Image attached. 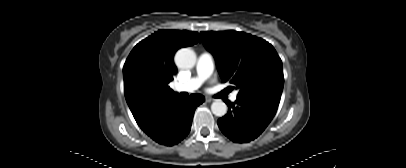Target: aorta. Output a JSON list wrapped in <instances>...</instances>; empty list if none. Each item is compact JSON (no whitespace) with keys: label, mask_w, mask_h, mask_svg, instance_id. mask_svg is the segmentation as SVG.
<instances>
[{"label":"aorta","mask_w":406,"mask_h":168,"mask_svg":"<svg viewBox=\"0 0 406 168\" xmlns=\"http://www.w3.org/2000/svg\"><path fill=\"white\" fill-rule=\"evenodd\" d=\"M175 63L179 68L189 69L196 63V54L190 48H182L175 54ZM214 115L222 117L227 113V105L220 99L215 100L211 105Z\"/></svg>","instance_id":"obj_1"}]
</instances>
